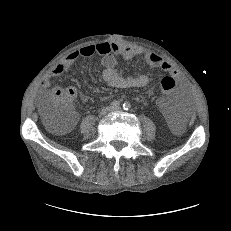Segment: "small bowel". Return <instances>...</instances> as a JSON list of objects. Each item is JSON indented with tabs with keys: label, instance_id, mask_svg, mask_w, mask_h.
<instances>
[{
	"label": "small bowel",
	"instance_id": "obj_1",
	"mask_svg": "<svg viewBox=\"0 0 231 231\" xmlns=\"http://www.w3.org/2000/svg\"><path fill=\"white\" fill-rule=\"evenodd\" d=\"M93 55L101 56L103 80L107 85L114 88H142L147 86L149 83V77L146 74L125 76L119 73L115 68L118 56H122L126 59L142 57L150 66L162 69L172 75L175 79L179 77V72L175 66L164 60L156 53H144L138 48L128 47L117 43L103 42L96 45L85 46L70 53L61 62H59L45 78H43L41 86L43 88L50 87L51 79L69 70L77 59ZM80 97L83 101L87 100V96L85 94H81ZM168 103V98H161L159 100V106L165 114L169 113L167 110ZM74 123L75 118L71 126L74 125Z\"/></svg>",
	"mask_w": 231,
	"mask_h": 231
}]
</instances>
